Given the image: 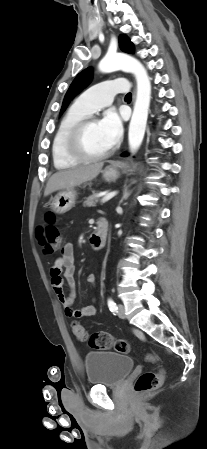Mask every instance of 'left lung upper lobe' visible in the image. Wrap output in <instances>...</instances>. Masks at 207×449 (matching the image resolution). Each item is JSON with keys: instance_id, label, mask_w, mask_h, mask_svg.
Instances as JSON below:
<instances>
[{"instance_id": "obj_1", "label": "left lung upper lobe", "mask_w": 207, "mask_h": 449, "mask_svg": "<svg viewBox=\"0 0 207 449\" xmlns=\"http://www.w3.org/2000/svg\"><path fill=\"white\" fill-rule=\"evenodd\" d=\"M119 45L122 51L132 54L134 52L133 43L125 35L119 37ZM92 79V69L87 68L81 71L70 85L60 111V115L65 111L70 101L85 88Z\"/></svg>"}]
</instances>
